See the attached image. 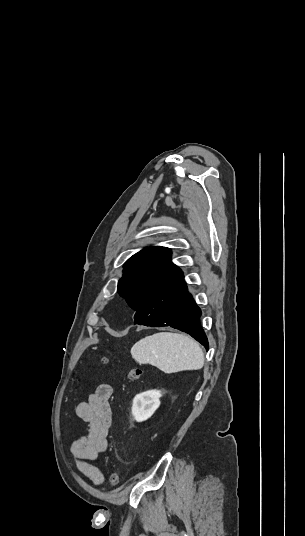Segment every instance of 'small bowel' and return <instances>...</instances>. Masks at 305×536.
<instances>
[{"label": "small bowel", "mask_w": 305, "mask_h": 536, "mask_svg": "<svg viewBox=\"0 0 305 536\" xmlns=\"http://www.w3.org/2000/svg\"><path fill=\"white\" fill-rule=\"evenodd\" d=\"M112 394L111 385L101 384L89 396L87 402L79 403L76 408L77 416L87 425V431L73 441L70 449L80 471L95 484H101L104 478L101 471L89 461L96 460L108 447Z\"/></svg>", "instance_id": "obj_1"}]
</instances>
